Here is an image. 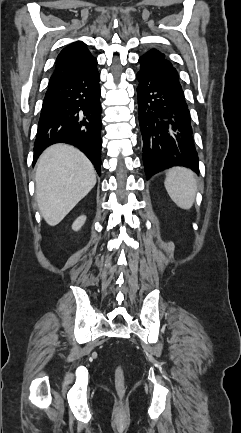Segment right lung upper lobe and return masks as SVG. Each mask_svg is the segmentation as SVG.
Here are the masks:
<instances>
[{
	"instance_id": "cb5924a9",
	"label": "right lung upper lobe",
	"mask_w": 241,
	"mask_h": 433,
	"mask_svg": "<svg viewBox=\"0 0 241 433\" xmlns=\"http://www.w3.org/2000/svg\"><path fill=\"white\" fill-rule=\"evenodd\" d=\"M96 64L97 59L89 52L86 44L81 41L74 42L58 55L49 83L60 81Z\"/></svg>"
}]
</instances>
